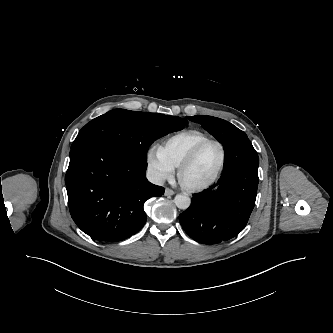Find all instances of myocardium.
<instances>
[{
  "mask_svg": "<svg viewBox=\"0 0 333 333\" xmlns=\"http://www.w3.org/2000/svg\"><path fill=\"white\" fill-rule=\"evenodd\" d=\"M209 144H215L220 149L221 158H220V162H219V165H218L216 171L214 172V174L211 176L210 179H208L207 181H205L203 183L189 184V183L185 182L183 179L184 171L193 163V161L195 160V158L197 157V155L201 151V149ZM225 162H226V150H225L224 145L220 141H218L216 139H210V138L206 139L204 141H201L187 154V156L179 164L178 171H177V177H178L179 183L182 186V188H184L185 190L190 191V192H199V191L205 190V189L211 187L218 180V178L220 177V175L223 172Z\"/></svg>",
  "mask_w": 333,
  "mask_h": 333,
  "instance_id": "obj_1",
  "label": "myocardium"
}]
</instances>
